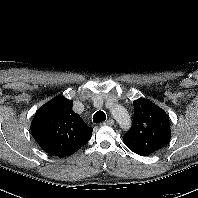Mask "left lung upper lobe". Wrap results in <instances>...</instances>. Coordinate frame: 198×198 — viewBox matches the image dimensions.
<instances>
[{
  "instance_id": "5c2ea615",
  "label": "left lung upper lobe",
  "mask_w": 198,
  "mask_h": 198,
  "mask_svg": "<svg viewBox=\"0 0 198 198\" xmlns=\"http://www.w3.org/2000/svg\"><path fill=\"white\" fill-rule=\"evenodd\" d=\"M131 129L124 135L126 146L134 153L147 156L163 148L171 138L166 112L145 98L133 102Z\"/></svg>"
}]
</instances>
